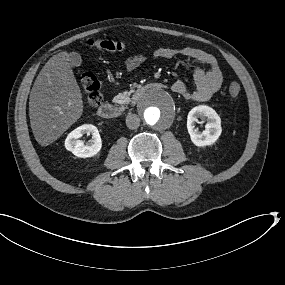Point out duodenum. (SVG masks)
Wrapping results in <instances>:
<instances>
[{
    "instance_id": "1",
    "label": "duodenum",
    "mask_w": 285,
    "mask_h": 285,
    "mask_svg": "<svg viewBox=\"0 0 285 285\" xmlns=\"http://www.w3.org/2000/svg\"><path fill=\"white\" fill-rule=\"evenodd\" d=\"M150 88H164V85L161 83H149L145 84L134 91L131 96V102H137L141 96ZM97 114L100 118L104 120H112L118 118L121 115V110L118 106L112 103H102L98 109Z\"/></svg>"
}]
</instances>
